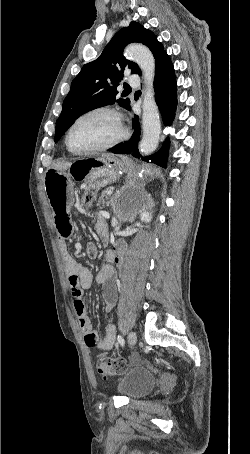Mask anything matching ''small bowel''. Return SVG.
Listing matches in <instances>:
<instances>
[{
    "label": "small bowel",
    "mask_w": 250,
    "mask_h": 454,
    "mask_svg": "<svg viewBox=\"0 0 250 454\" xmlns=\"http://www.w3.org/2000/svg\"><path fill=\"white\" fill-rule=\"evenodd\" d=\"M45 190L53 209L55 226L60 235L66 239L73 231L69 210L77 193L76 181L70 174L51 171L46 176ZM96 231L102 241L106 242L107 229L103 219L98 220ZM86 253L90 258L96 257L97 248L95 244L88 242L86 244ZM121 253V245H117L113 250H109L106 255L108 264L104 265L96 276V282L102 289L105 311L107 312L110 311L116 303L117 270L114 264H121ZM62 255L68 275L69 287L74 298V310L78 318L79 327L84 335V341L88 346H94L99 350L108 351L113 347L115 342V325L112 322H109L105 328L104 338L99 340L97 332L92 327L83 300L84 290L91 286L93 276L87 267L78 263L67 252L65 247L62 248Z\"/></svg>",
    "instance_id": "1"
}]
</instances>
